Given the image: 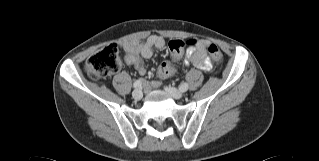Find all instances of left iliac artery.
Listing matches in <instances>:
<instances>
[{
    "label": "left iliac artery",
    "mask_w": 319,
    "mask_h": 161,
    "mask_svg": "<svg viewBox=\"0 0 319 161\" xmlns=\"http://www.w3.org/2000/svg\"><path fill=\"white\" fill-rule=\"evenodd\" d=\"M180 91L186 92L188 90V84L187 83H182L179 87Z\"/></svg>",
    "instance_id": "44dca946"
}]
</instances>
